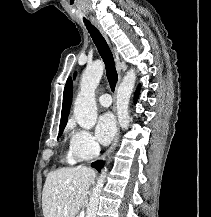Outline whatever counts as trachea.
<instances>
[{
  "instance_id": "1",
  "label": "trachea",
  "mask_w": 211,
  "mask_h": 217,
  "mask_svg": "<svg viewBox=\"0 0 211 217\" xmlns=\"http://www.w3.org/2000/svg\"><path fill=\"white\" fill-rule=\"evenodd\" d=\"M84 23L87 27L88 32L91 35L94 44L98 49L100 56L105 63L107 79L109 81L111 90L114 91L118 80V74L115 68L113 54L105 38L102 36L99 30L95 26H93L87 19H84Z\"/></svg>"
}]
</instances>
